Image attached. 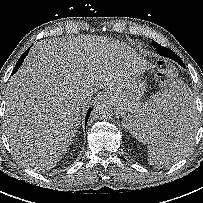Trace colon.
<instances>
[{
	"mask_svg": "<svg viewBox=\"0 0 203 203\" xmlns=\"http://www.w3.org/2000/svg\"><path fill=\"white\" fill-rule=\"evenodd\" d=\"M174 73L175 69L170 63L165 61L158 63L156 76L160 84H165L171 77L174 76Z\"/></svg>",
	"mask_w": 203,
	"mask_h": 203,
	"instance_id": "5ec220e1",
	"label": "colon"
}]
</instances>
